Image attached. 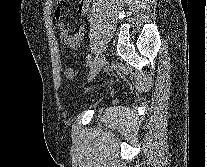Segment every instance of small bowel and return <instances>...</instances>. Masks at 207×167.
<instances>
[{"instance_id": "c3829d8e", "label": "small bowel", "mask_w": 207, "mask_h": 167, "mask_svg": "<svg viewBox=\"0 0 207 167\" xmlns=\"http://www.w3.org/2000/svg\"><path fill=\"white\" fill-rule=\"evenodd\" d=\"M89 4L90 0H80L78 7L79 15H81L82 17H85L87 15V12L89 10ZM55 19L56 26L60 34V42L68 49L77 48L82 41L84 26H81L75 33H70L66 24L62 20V8L60 6H58L55 11Z\"/></svg>"}]
</instances>
